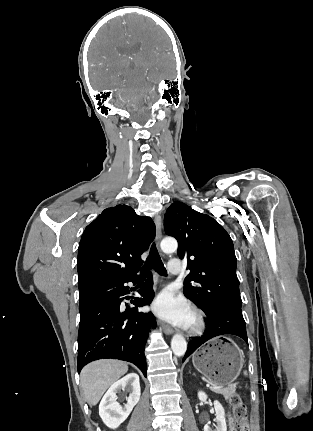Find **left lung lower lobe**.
I'll list each match as a JSON object with an SVG mask.
<instances>
[{
	"label": "left lung lower lobe",
	"instance_id": "0a47b994",
	"mask_svg": "<svg viewBox=\"0 0 313 431\" xmlns=\"http://www.w3.org/2000/svg\"><path fill=\"white\" fill-rule=\"evenodd\" d=\"M205 319L208 328L202 337H196L189 341L188 349L183 361L190 356L199 346L209 339L224 335L232 334L241 337L248 344L245 321L242 315L241 307L220 306L205 312Z\"/></svg>",
	"mask_w": 313,
	"mask_h": 431
}]
</instances>
